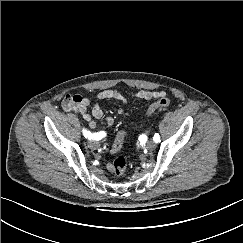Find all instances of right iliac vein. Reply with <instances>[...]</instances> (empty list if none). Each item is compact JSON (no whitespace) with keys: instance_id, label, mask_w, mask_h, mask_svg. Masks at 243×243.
Returning a JSON list of instances; mask_svg holds the SVG:
<instances>
[{"instance_id":"obj_1","label":"right iliac vein","mask_w":243,"mask_h":243,"mask_svg":"<svg viewBox=\"0 0 243 243\" xmlns=\"http://www.w3.org/2000/svg\"><path fill=\"white\" fill-rule=\"evenodd\" d=\"M98 146H99V143L97 141L92 140V141L88 142V147L90 149H96V148H98Z\"/></svg>"}]
</instances>
